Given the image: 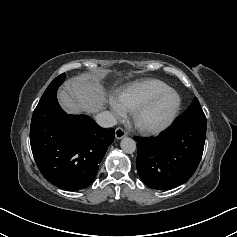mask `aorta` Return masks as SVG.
<instances>
[{"instance_id":"obj_1","label":"aorta","mask_w":237,"mask_h":237,"mask_svg":"<svg viewBox=\"0 0 237 237\" xmlns=\"http://www.w3.org/2000/svg\"><path fill=\"white\" fill-rule=\"evenodd\" d=\"M121 149L125 152V153H133L136 150V142L129 138V137H124L121 140L120 143Z\"/></svg>"}]
</instances>
